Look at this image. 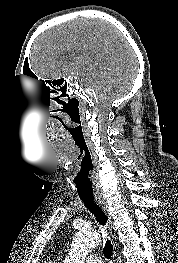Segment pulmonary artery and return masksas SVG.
Returning a JSON list of instances; mask_svg holds the SVG:
<instances>
[{
	"label": "pulmonary artery",
	"instance_id": "e3ab8cb5",
	"mask_svg": "<svg viewBox=\"0 0 178 263\" xmlns=\"http://www.w3.org/2000/svg\"><path fill=\"white\" fill-rule=\"evenodd\" d=\"M85 263H103L102 258L95 253L89 254L86 258H85Z\"/></svg>",
	"mask_w": 178,
	"mask_h": 263
}]
</instances>
